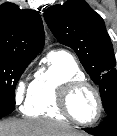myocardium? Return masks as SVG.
Returning <instances> with one entry per match:
<instances>
[{"label":"myocardium","instance_id":"obj_1","mask_svg":"<svg viewBox=\"0 0 117 136\" xmlns=\"http://www.w3.org/2000/svg\"><path fill=\"white\" fill-rule=\"evenodd\" d=\"M82 90H90L95 95V98L97 101L98 112L96 117L91 121L80 120L79 118L76 117V115L74 114L72 110L73 98L75 97L77 93H79ZM58 107L63 115H65L67 118H69L73 122L77 124H81V125L95 124L96 122L99 121V119L101 118L103 114V101H102V97L99 90L94 85H92L91 83H89L88 81L84 79L69 81L68 83H66L60 88L59 94H58Z\"/></svg>","mask_w":117,"mask_h":136}]
</instances>
